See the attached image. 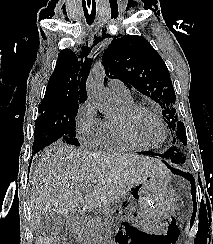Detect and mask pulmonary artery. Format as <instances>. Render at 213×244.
<instances>
[{"label":"pulmonary artery","instance_id":"e3ab8cb5","mask_svg":"<svg viewBox=\"0 0 213 244\" xmlns=\"http://www.w3.org/2000/svg\"><path fill=\"white\" fill-rule=\"evenodd\" d=\"M108 92L118 100H132L131 93L128 88L119 79H111L107 83Z\"/></svg>","mask_w":213,"mask_h":244}]
</instances>
